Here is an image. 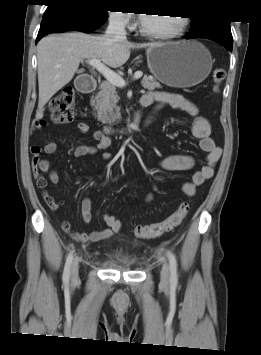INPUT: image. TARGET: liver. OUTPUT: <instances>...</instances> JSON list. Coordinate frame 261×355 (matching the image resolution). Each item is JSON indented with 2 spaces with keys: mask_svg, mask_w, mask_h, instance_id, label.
<instances>
[{
  "mask_svg": "<svg viewBox=\"0 0 261 355\" xmlns=\"http://www.w3.org/2000/svg\"><path fill=\"white\" fill-rule=\"evenodd\" d=\"M157 44L113 41L105 35L92 36L80 32L44 37L37 45L39 84L37 117L43 116L44 106L49 99L72 80L82 60L96 58L112 68H118L129 59L130 49Z\"/></svg>",
  "mask_w": 261,
  "mask_h": 355,
  "instance_id": "6515ba94",
  "label": "liver"
}]
</instances>
